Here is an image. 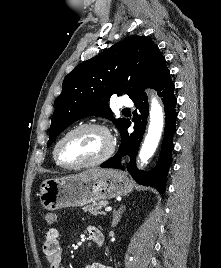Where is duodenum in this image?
Segmentation results:
<instances>
[{
    "instance_id": "1",
    "label": "duodenum",
    "mask_w": 221,
    "mask_h": 268,
    "mask_svg": "<svg viewBox=\"0 0 221 268\" xmlns=\"http://www.w3.org/2000/svg\"><path fill=\"white\" fill-rule=\"evenodd\" d=\"M91 239L99 246H101L103 241H104L103 234H102V232L100 230L94 232L92 234Z\"/></svg>"
}]
</instances>
